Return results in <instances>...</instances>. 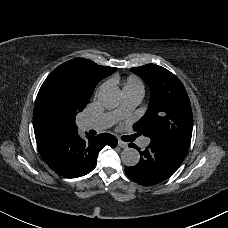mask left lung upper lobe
Masks as SVG:
<instances>
[{
    "instance_id": "5c2ea615",
    "label": "left lung upper lobe",
    "mask_w": 228,
    "mask_h": 228,
    "mask_svg": "<svg viewBox=\"0 0 228 228\" xmlns=\"http://www.w3.org/2000/svg\"><path fill=\"white\" fill-rule=\"evenodd\" d=\"M131 71L150 88L149 107L133 126L137 135L164 139L189 148L193 116L182 82L173 73L155 64L132 68Z\"/></svg>"
}]
</instances>
